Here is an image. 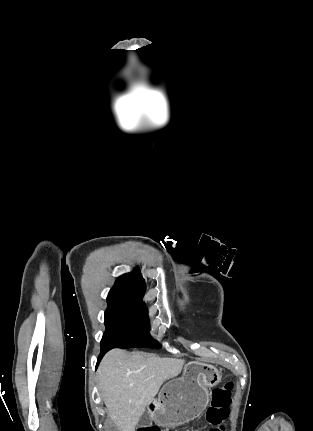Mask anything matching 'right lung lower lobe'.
Instances as JSON below:
<instances>
[{
    "instance_id": "98d812e1",
    "label": "right lung lower lobe",
    "mask_w": 313,
    "mask_h": 431,
    "mask_svg": "<svg viewBox=\"0 0 313 431\" xmlns=\"http://www.w3.org/2000/svg\"><path fill=\"white\" fill-rule=\"evenodd\" d=\"M109 351V349H101V353H100V355H99V357H98V360H97V366H98V364L100 363V360L102 359V357L107 353ZM97 366H96V368H97Z\"/></svg>"
}]
</instances>
